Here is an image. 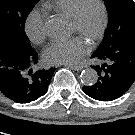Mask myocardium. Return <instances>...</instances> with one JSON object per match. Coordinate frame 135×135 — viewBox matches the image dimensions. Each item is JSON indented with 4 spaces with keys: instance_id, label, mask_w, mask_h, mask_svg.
Here are the masks:
<instances>
[{
    "instance_id": "1",
    "label": "myocardium",
    "mask_w": 135,
    "mask_h": 135,
    "mask_svg": "<svg viewBox=\"0 0 135 135\" xmlns=\"http://www.w3.org/2000/svg\"><path fill=\"white\" fill-rule=\"evenodd\" d=\"M93 2L96 3L100 8L101 21L98 29L90 36L88 40L90 44H95L101 40L107 30L109 24V10L106 2L104 0H82L70 18V22L74 25L76 32L78 33L82 29L83 11L89 3Z\"/></svg>"
}]
</instances>
